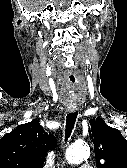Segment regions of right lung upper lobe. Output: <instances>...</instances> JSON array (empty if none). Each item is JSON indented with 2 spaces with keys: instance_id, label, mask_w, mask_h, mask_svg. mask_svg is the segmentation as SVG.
Masks as SVG:
<instances>
[{
  "instance_id": "right-lung-upper-lobe-1",
  "label": "right lung upper lobe",
  "mask_w": 127,
  "mask_h": 168,
  "mask_svg": "<svg viewBox=\"0 0 127 168\" xmlns=\"http://www.w3.org/2000/svg\"><path fill=\"white\" fill-rule=\"evenodd\" d=\"M56 139L37 120L18 125L0 139V168H43Z\"/></svg>"
}]
</instances>
